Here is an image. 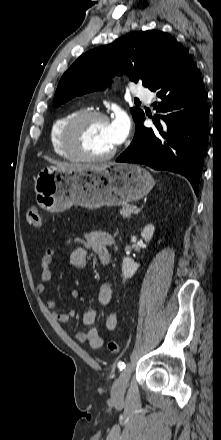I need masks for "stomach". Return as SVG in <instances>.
Masks as SVG:
<instances>
[{
	"label": "stomach",
	"mask_w": 221,
	"mask_h": 440,
	"mask_svg": "<svg viewBox=\"0 0 221 440\" xmlns=\"http://www.w3.org/2000/svg\"><path fill=\"white\" fill-rule=\"evenodd\" d=\"M153 186L152 175L139 165L104 163L82 170L45 167L37 175L35 192L42 209L58 213L73 205H125L146 196Z\"/></svg>",
	"instance_id": "stomach-1"
}]
</instances>
